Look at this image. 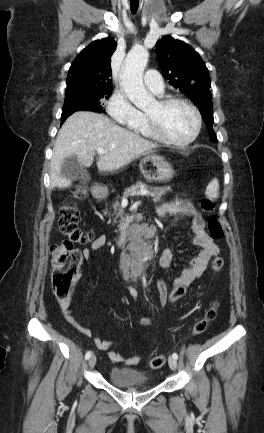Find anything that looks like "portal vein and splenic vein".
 Wrapping results in <instances>:
<instances>
[{"mask_svg":"<svg viewBox=\"0 0 264 433\" xmlns=\"http://www.w3.org/2000/svg\"><path fill=\"white\" fill-rule=\"evenodd\" d=\"M96 151H97V153L99 155H103L105 153V150L102 149V148H98ZM139 194H141V195H148V194H151V193L149 191H141ZM123 200L126 201L127 199L124 198Z\"/></svg>","mask_w":264,"mask_h":433,"instance_id":"obj_1","label":"portal vein and splenic vein"}]
</instances>
